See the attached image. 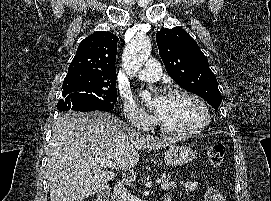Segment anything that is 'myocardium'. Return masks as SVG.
<instances>
[{
	"label": "myocardium",
	"mask_w": 271,
	"mask_h": 201,
	"mask_svg": "<svg viewBox=\"0 0 271 201\" xmlns=\"http://www.w3.org/2000/svg\"><path fill=\"white\" fill-rule=\"evenodd\" d=\"M176 96H184V97H187V98H190L192 100H194L195 102H197L199 104V106L201 107L203 113H204V121L202 124H200L199 126H197L196 128H193L191 130H188V131H177V130H174L172 128H170L169 126H167L157 115L155 117L156 119V123L159 127V129L167 134V135H170V136H175V137H190V136H193L201 131H203L205 128H207L210 123H211V113H210V110L206 104V102L200 97L198 96L197 94L193 93V92H190V91H187V90H183V89H171L169 90L164 98H173V97H176Z\"/></svg>",
	"instance_id": "myocardium-1"
}]
</instances>
